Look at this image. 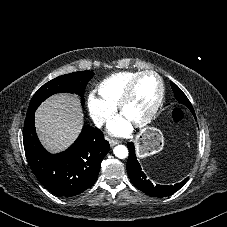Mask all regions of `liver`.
<instances>
[{"instance_id":"obj_1","label":"liver","mask_w":227,"mask_h":227,"mask_svg":"<svg viewBox=\"0 0 227 227\" xmlns=\"http://www.w3.org/2000/svg\"><path fill=\"white\" fill-rule=\"evenodd\" d=\"M84 114L79 100L69 94H56L36 111V129L43 145L52 153L68 148L78 137Z\"/></svg>"}]
</instances>
